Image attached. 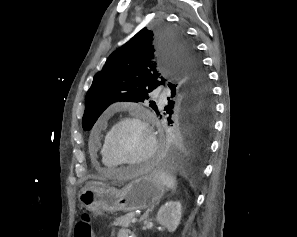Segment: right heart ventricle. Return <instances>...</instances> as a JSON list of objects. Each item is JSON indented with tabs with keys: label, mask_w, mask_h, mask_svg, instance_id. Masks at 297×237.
Instances as JSON below:
<instances>
[{
	"label": "right heart ventricle",
	"mask_w": 297,
	"mask_h": 237,
	"mask_svg": "<svg viewBox=\"0 0 297 237\" xmlns=\"http://www.w3.org/2000/svg\"><path fill=\"white\" fill-rule=\"evenodd\" d=\"M100 158L102 164L108 168V169H116L119 165L116 161H114L110 155L108 154L106 148H105V140L101 144L100 148Z\"/></svg>",
	"instance_id": "right-heart-ventricle-1"
}]
</instances>
